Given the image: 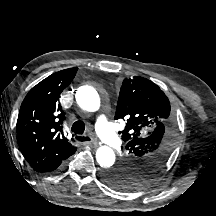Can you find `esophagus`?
<instances>
[{
  "label": "esophagus",
  "mask_w": 216,
  "mask_h": 216,
  "mask_svg": "<svg viewBox=\"0 0 216 216\" xmlns=\"http://www.w3.org/2000/svg\"><path fill=\"white\" fill-rule=\"evenodd\" d=\"M85 138L84 141H80V139ZM75 140L80 142V143H84V144H90V145H98V141L95 140L94 138L90 137V136H81V135H77L75 136Z\"/></svg>",
  "instance_id": "obj_1"
}]
</instances>
